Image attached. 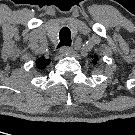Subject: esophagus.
<instances>
[{
	"label": "esophagus",
	"instance_id": "obj_1",
	"mask_svg": "<svg viewBox=\"0 0 135 135\" xmlns=\"http://www.w3.org/2000/svg\"><path fill=\"white\" fill-rule=\"evenodd\" d=\"M72 53V48L68 47V46H64L60 49L59 54L61 56H68Z\"/></svg>",
	"mask_w": 135,
	"mask_h": 135
}]
</instances>
